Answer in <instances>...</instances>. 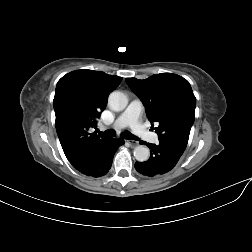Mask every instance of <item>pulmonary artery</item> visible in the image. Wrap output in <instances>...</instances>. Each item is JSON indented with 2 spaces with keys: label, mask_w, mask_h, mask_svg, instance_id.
<instances>
[{
  "label": "pulmonary artery",
  "mask_w": 252,
  "mask_h": 252,
  "mask_svg": "<svg viewBox=\"0 0 252 252\" xmlns=\"http://www.w3.org/2000/svg\"><path fill=\"white\" fill-rule=\"evenodd\" d=\"M143 105L139 100H133L129 103L127 108L116 119L114 126L116 128H123L130 126L132 131L144 140H151L156 142L157 135L148 131L140 122V114Z\"/></svg>",
  "instance_id": "obj_1"
}]
</instances>
